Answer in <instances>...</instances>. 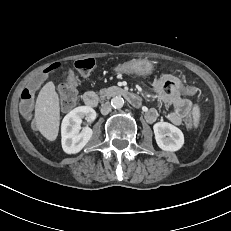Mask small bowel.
<instances>
[{"instance_id": "obj_1", "label": "small bowel", "mask_w": 231, "mask_h": 231, "mask_svg": "<svg viewBox=\"0 0 231 231\" xmlns=\"http://www.w3.org/2000/svg\"><path fill=\"white\" fill-rule=\"evenodd\" d=\"M176 82L180 80L169 74L162 75L154 82V90L159 96V99L172 110L167 114V120L174 125H181L186 117L192 111V103L185 98L183 94L177 92ZM158 111L155 108H148L145 111V119L149 123H153L158 118Z\"/></svg>"}]
</instances>
